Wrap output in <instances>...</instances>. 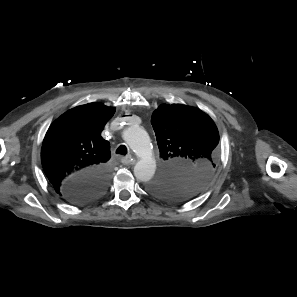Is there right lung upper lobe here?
Here are the masks:
<instances>
[{"instance_id": "right-lung-upper-lobe-1", "label": "right lung upper lobe", "mask_w": 297, "mask_h": 297, "mask_svg": "<svg viewBox=\"0 0 297 297\" xmlns=\"http://www.w3.org/2000/svg\"><path fill=\"white\" fill-rule=\"evenodd\" d=\"M115 108L101 103L75 107L49 127L43 140L41 162L57 193L74 175L96 168H107L109 142L101 137Z\"/></svg>"}]
</instances>
